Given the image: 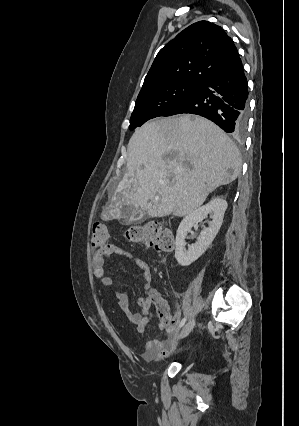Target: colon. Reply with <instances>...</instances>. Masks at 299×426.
Segmentation results:
<instances>
[{
    "label": "colon",
    "instance_id": "5ec220e1",
    "mask_svg": "<svg viewBox=\"0 0 299 426\" xmlns=\"http://www.w3.org/2000/svg\"><path fill=\"white\" fill-rule=\"evenodd\" d=\"M125 236L132 242L144 244L161 252L170 251L174 245L169 229L157 222L131 227L127 229ZM91 243L97 253L101 255L111 253L113 244L109 241V232L105 224L97 222L93 225Z\"/></svg>",
    "mask_w": 299,
    "mask_h": 426
}]
</instances>
